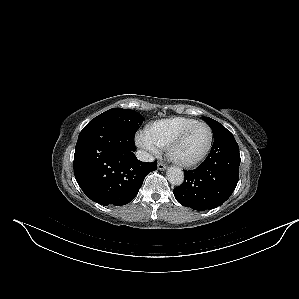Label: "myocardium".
Masks as SVG:
<instances>
[{
    "label": "myocardium",
    "instance_id": "obj_1",
    "mask_svg": "<svg viewBox=\"0 0 299 299\" xmlns=\"http://www.w3.org/2000/svg\"><path fill=\"white\" fill-rule=\"evenodd\" d=\"M205 126L208 129L209 132V140L207 143L206 148L204 149V151L196 158L192 159V160H182L180 158H178L175 155V149L178 147V145L184 140V138L186 137V135L196 126ZM212 144H213V131L211 129V127L205 123V122H200L197 121L189 126H187L186 128H184L180 133H178L173 139L172 141L169 143V145L167 146V153L169 158L177 165L182 166V167H193L198 165L199 163H201L209 154L211 148H212Z\"/></svg>",
    "mask_w": 299,
    "mask_h": 299
}]
</instances>
